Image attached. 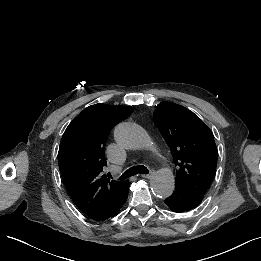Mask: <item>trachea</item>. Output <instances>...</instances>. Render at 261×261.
Returning <instances> with one entry per match:
<instances>
[{
    "label": "trachea",
    "instance_id": "1",
    "mask_svg": "<svg viewBox=\"0 0 261 261\" xmlns=\"http://www.w3.org/2000/svg\"><path fill=\"white\" fill-rule=\"evenodd\" d=\"M149 170L143 165H137L126 170L120 177L119 180H125L136 174H148Z\"/></svg>",
    "mask_w": 261,
    "mask_h": 261
}]
</instances>
